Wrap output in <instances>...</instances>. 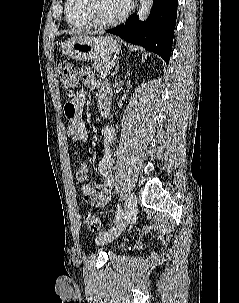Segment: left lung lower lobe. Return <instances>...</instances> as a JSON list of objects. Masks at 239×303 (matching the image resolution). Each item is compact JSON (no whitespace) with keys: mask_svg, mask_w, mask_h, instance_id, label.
<instances>
[{"mask_svg":"<svg viewBox=\"0 0 239 303\" xmlns=\"http://www.w3.org/2000/svg\"><path fill=\"white\" fill-rule=\"evenodd\" d=\"M177 6L178 0H154L145 22L139 21L135 14L125 24L106 32L118 35L129 43L140 45L169 63Z\"/></svg>","mask_w":239,"mask_h":303,"instance_id":"left-lung-lower-lobe-1","label":"left lung lower lobe"}]
</instances>
